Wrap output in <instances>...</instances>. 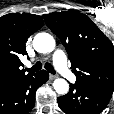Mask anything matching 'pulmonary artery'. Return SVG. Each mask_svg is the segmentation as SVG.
<instances>
[{
	"label": "pulmonary artery",
	"instance_id": "1",
	"mask_svg": "<svg viewBox=\"0 0 114 114\" xmlns=\"http://www.w3.org/2000/svg\"><path fill=\"white\" fill-rule=\"evenodd\" d=\"M53 63L56 69L68 80L75 81V75L70 71L67 58L65 53L62 50L55 51L53 55Z\"/></svg>",
	"mask_w": 114,
	"mask_h": 114
}]
</instances>
